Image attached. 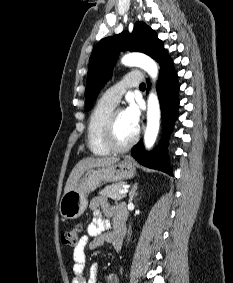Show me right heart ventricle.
I'll return each instance as SVG.
<instances>
[{"label": "right heart ventricle", "instance_id": "1", "mask_svg": "<svg viewBox=\"0 0 233 283\" xmlns=\"http://www.w3.org/2000/svg\"><path fill=\"white\" fill-rule=\"evenodd\" d=\"M114 107V105L100 99L89 116L87 146L90 152L96 156H106L111 152L103 143L102 133L108 115Z\"/></svg>", "mask_w": 233, "mask_h": 283}]
</instances>
